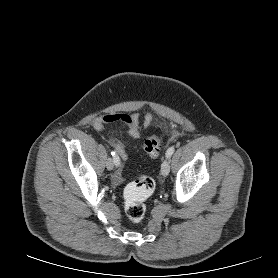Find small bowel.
<instances>
[{
    "label": "small bowel",
    "instance_id": "small-bowel-1",
    "mask_svg": "<svg viewBox=\"0 0 278 278\" xmlns=\"http://www.w3.org/2000/svg\"><path fill=\"white\" fill-rule=\"evenodd\" d=\"M152 121L153 115L151 113H146L142 121L137 113H111L96 118L92 123V127L95 131L99 132L102 131L106 125L122 124L126 126L128 135L132 139L139 140L142 129L150 126ZM107 141L115 149V153L118 155L119 159L121 158L124 161L128 159L127 151L122 143L115 140L113 136H109ZM115 181H120V176L118 174L115 176Z\"/></svg>",
    "mask_w": 278,
    "mask_h": 278
}]
</instances>
